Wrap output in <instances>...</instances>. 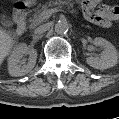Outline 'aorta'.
Instances as JSON below:
<instances>
[{"mask_svg": "<svg viewBox=\"0 0 119 119\" xmlns=\"http://www.w3.org/2000/svg\"><path fill=\"white\" fill-rule=\"evenodd\" d=\"M55 32L58 34H64L69 30V24L67 21L65 20H59L56 24H55Z\"/></svg>", "mask_w": 119, "mask_h": 119, "instance_id": "obj_1", "label": "aorta"}]
</instances>
